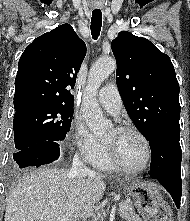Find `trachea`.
<instances>
[{
  "instance_id": "obj_1",
  "label": "trachea",
  "mask_w": 190,
  "mask_h": 221,
  "mask_svg": "<svg viewBox=\"0 0 190 221\" xmlns=\"http://www.w3.org/2000/svg\"><path fill=\"white\" fill-rule=\"evenodd\" d=\"M102 27V13L100 10H94L91 18V35L93 39H97L100 35Z\"/></svg>"
}]
</instances>
